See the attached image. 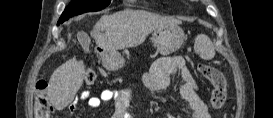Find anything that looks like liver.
I'll use <instances>...</instances> for the list:
<instances>
[{"instance_id":"1","label":"liver","mask_w":273,"mask_h":118,"mask_svg":"<svg viewBox=\"0 0 273 118\" xmlns=\"http://www.w3.org/2000/svg\"><path fill=\"white\" fill-rule=\"evenodd\" d=\"M181 24L180 20L160 16L144 10H123L104 15L91 31L97 46L105 52L136 47L156 28ZM100 31H105L101 33ZM85 65L75 58L67 60L52 74L48 95L57 110H62L73 100L83 84Z\"/></svg>"}]
</instances>
